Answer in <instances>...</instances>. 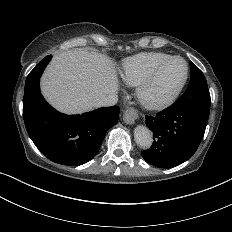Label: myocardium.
<instances>
[{"mask_svg": "<svg viewBox=\"0 0 232 232\" xmlns=\"http://www.w3.org/2000/svg\"><path fill=\"white\" fill-rule=\"evenodd\" d=\"M182 61L185 65H186V73H185V77L182 80V82L180 83V85L164 100L158 102V103H154V104H149L143 101L142 95H143V91L145 90V88L148 86V84L157 76V74L164 69L169 63L173 62V61ZM189 75H190V67H189V63L187 62V60H185L182 57L179 56H171L170 58H168L167 60L163 61L162 63L158 64L157 66H155L153 69H151L142 79L141 81L138 83V85L135 88V99L137 101V103L139 104L140 107H142L145 110L148 111H163L165 109H167L168 107H170L175 101L176 99L179 97L180 93L182 92V90L184 89L188 79H189Z\"/></svg>", "mask_w": 232, "mask_h": 232, "instance_id": "obj_1", "label": "myocardium"}]
</instances>
